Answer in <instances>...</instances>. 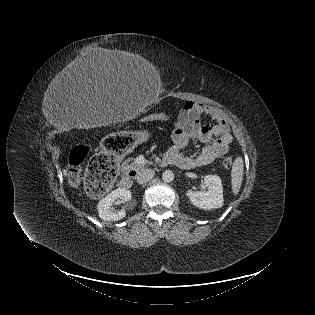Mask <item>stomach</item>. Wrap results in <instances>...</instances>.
<instances>
[{
    "instance_id": "1",
    "label": "stomach",
    "mask_w": 315,
    "mask_h": 315,
    "mask_svg": "<svg viewBox=\"0 0 315 315\" xmlns=\"http://www.w3.org/2000/svg\"><path fill=\"white\" fill-rule=\"evenodd\" d=\"M152 134L149 130L135 132L126 130L122 133L108 136L102 144L103 152L111 158H124L134 153L141 143L147 142Z\"/></svg>"
}]
</instances>
